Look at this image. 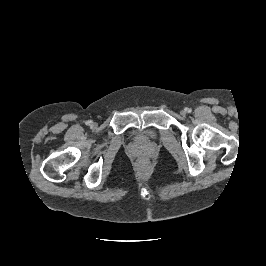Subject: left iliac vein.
<instances>
[{
  "instance_id": "4c4485c4",
  "label": "left iliac vein",
  "mask_w": 266,
  "mask_h": 266,
  "mask_svg": "<svg viewBox=\"0 0 266 266\" xmlns=\"http://www.w3.org/2000/svg\"><path fill=\"white\" fill-rule=\"evenodd\" d=\"M180 115L184 117V116L186 115L185 110H182V111L180 112Z\"/></svg>"
}]
</instances>
